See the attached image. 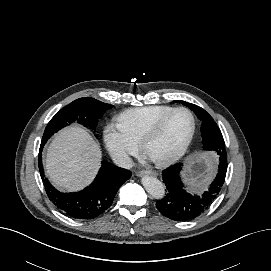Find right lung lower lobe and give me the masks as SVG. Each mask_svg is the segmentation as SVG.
Segmentation results:
<instances>
[{
    "instance_id": "right-lung-lower-lobe-1",
    "label": "right lung lower lobe",
    "mask_w": 271,
    "mask_h": 271,
    "mask_svg": "<svg viewBox=\"0 0 271 271\" xmlns=\"http://www.w3.org/2000/svg\"><path fill=\"white\" fill-rule=\"evenodd\" d=\"M43 146L41 144L40 151ZM41 156L40 152L38 163L48 198L62 212L77 219H93L105 212L111 206L120 186L131 176L129 170L103 161L99 174L89 187L80 192L60 193L45 178Z\"/></svg>"
}]
</instances>
